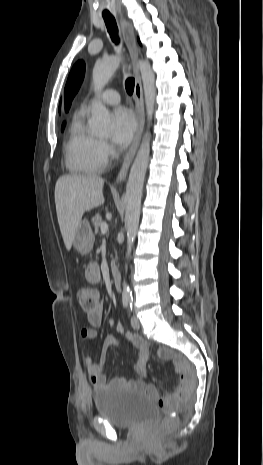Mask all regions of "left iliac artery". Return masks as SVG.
Masks as SVG:
<instances>
[{
	"label": "left iliac artery",
	"instance_id": "left-iliac-artery-1",
	"mask_svg": "<svg viewBox=\"0 0 263 465\" xmlns=\"http://www.w3.org/2000/svg\"><path fill=\"white\" fill-rule=\"evenodd\" d=\"M130 310H132V305L130 304Z\"/></svg>",
	"mask_w": 263,
	"mask_h": 465
}]
</instances>
